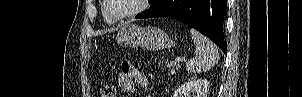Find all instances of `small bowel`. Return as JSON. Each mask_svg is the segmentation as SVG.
I'll return each instance as SVG.
<instances>
[{"mask_svg":"<svg viewBox=\"0 0 302 97\" xmlns=\"http://www.w3.org/2000/svg\"><path fill=\"white\" fill-rule=\"evenodd\" d=\"M120 88L125 92H135L137 88L148 87L147 78L132 64L124 62L118 78Z\"/></svg>","mask_w":302,"mask_h":97,"instance_id":"1","label":"small bowel"}]
</instances>
